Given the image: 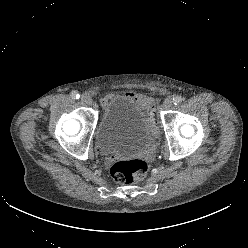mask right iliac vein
<instances>
[{
  "mask_svg": "<svg viewBox=\"0 0 248 248\" xmlns=\"http://www.w3.org/2000/svg\"><path fill=\"white\" fill-rule=\"evenodd\" d=\"M81 101L82 103L86 104V105H91L92 104V99L89 95L87 94H82L81 95Z\"/></svg>",
  "mask_w": 248,
  "mask_h": 248,
  "instance_id": "63e3f726",
  "label": "right iliac vein"
}]
</instances>
